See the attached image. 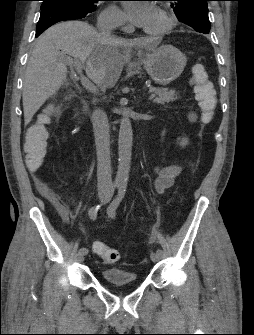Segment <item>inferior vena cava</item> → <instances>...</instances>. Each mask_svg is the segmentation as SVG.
<instances>
[{
	"label": "inferior vena cava",
	"instance_id": "inferior-vena-cava-1",
	"mask_svg": "<svg viewBox=\"0 0 254 335\" xmlns=\"http://www.w3.org/2000/svg\"><path fill=\"white\" fill-rule=\"evenodd\" d=\"M97 29L104 36H110L115 29L114 24L105 18L97 22ZM92 122L97 151V180L99 190H110L112 187L109 124L106 113L96 109L92 114Z\"/></svg>",
	"mask_w": 254,
	"mask_h": 335
}]
</instances>
